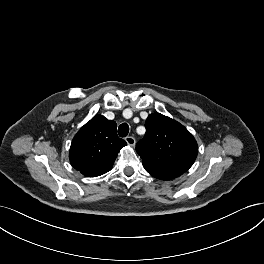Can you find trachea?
Returning a JSON list of instances; mask_svg holds the SVG:
<instances>
[{
	"label": "trachea",
	"mask_w": 264,
	"mask_h": 264,
	"mask_svg": "<svg viewBox=\"0 0 264 264\" xmlns=\"http://www.w3.org/2000/svg\"><path fill=\"white\" fill-rule=\"evenodd\" d=\"M129 133V126L127 123H122L118 128V134L120 137H126Z\"/></svg>",
	"instance_id": "3493384b"
}]
</instances>
